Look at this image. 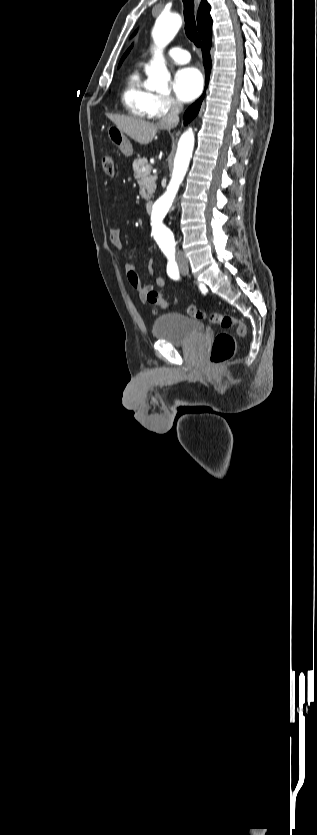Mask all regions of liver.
Returning a JSON list of instances; mask_svg holds the SVG:
<instances>
[{
	"instance_id": "6515ba94",
	"label": "liver",
	"mask_w": 317,
	"mask_h": 835,
	"mask_svg": "<svg viewBox=\"0 0 317 835\" xmlns=\"http://www.w3.org/2000/svg\"><path fill=\"white\" fill-rule=\"evenodd\" d=\"M107 117L118 126L125 134L139 144L147 145L152 142L159 129H163L159 123L107 114Z\"/></svg>"
}]
</instances>
